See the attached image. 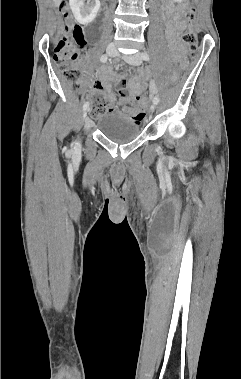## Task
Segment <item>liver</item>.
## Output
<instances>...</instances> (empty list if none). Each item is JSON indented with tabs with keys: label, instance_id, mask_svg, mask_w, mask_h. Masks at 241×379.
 <instances>
[{
	"label": "liver",
	"instance_id": "6515ba94",
	"mask_svg": "<svg viewBox=\"0 0 241 379\" xmlns=\"http://www.w3.org/2000/svg\"><path fill=\"white\" fill-rule=\"evenodd\" d=\"M54 2L56 5H58L61 2V0H54Z\"/></svg>",
	"mask_w": 241,
	"mask_h": 379
}]
</instances>
